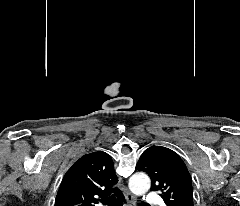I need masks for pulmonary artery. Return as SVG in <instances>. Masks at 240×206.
Segmentation results:
<instances>
[{
	"instance_id": "pulmonary-artery-1",
	"label": "pulmonary artery",
	"mask_w": 240,
	"mask_h": 206,
	"mask_svg": "<svg viewBox=\"0 0 240 206\" xmlns=\"http://www.w3.org/2000/svg\"><path fill=\"white\" fill-rule=\"evenodd\" d=\"M146 201L149 205L161 204L162 200L156 193H149L146 197Z\"/></svg>"
}]
</instances>
